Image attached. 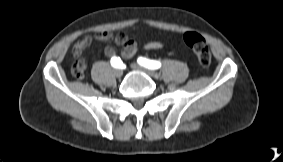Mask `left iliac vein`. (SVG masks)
Returning <instances> with one entry per match:
<instances>
[{"label": "left iliac vein", "instance_id": "obj_1", "mask_svg": "<svg viewBox=\"0 0 283 162\" xmlns=\"http://www.w3.org/2000/svg\"><path fill=\"white\" fill-rule=\"evenodd\" d=\"M130 66L134 70L144 72L145 74H147L148 76H150L152 78H156L158 76L156 72H154L152 70H149L147 68H144V67H142V66H140V65H138L136 63H132Z\"/></svg>", "mask_w": 283, "mask_h": 162}]
</instances>
